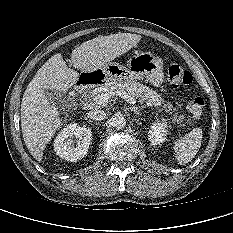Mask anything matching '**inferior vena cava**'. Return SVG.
Wrapping results in <instances>:
<instances>
[{
    "label": "inferior vena cava",
    "instance_id": "inferior-vena-cava-1",
    "mask_svg": "<svg viewBox=\"0 0 233 233\" xmlns=\"http://www.w3.org/2000/svg\"><path fill=\"white\" fill-rule=\"evenodd\" d=\"M88 117L92 120L101 121L106 118V112L101 109H93L89 111Z\"/></svg>",
    "mask_w": 233,
    "mask_h": 233
}]
</instances>
